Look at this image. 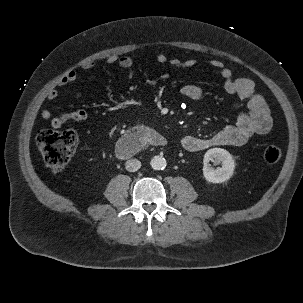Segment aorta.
Instances as JSON below:
<instances>
[{"mask_svg": "<svg viewBox=\"0 0 303 303\" xmlns=\"http://www.w3.org/2000/svg\"><path fill=\"white\" fill-rule=\"evenodd\" d=\"M166 164V159L162 156H155L150 162V165L154 170H163L165 169Z\"/></svg>", "mask_w": 303, "mask_h": 303, "instance_id": "762f6f07", "label": "aorta"}]
</instances>
